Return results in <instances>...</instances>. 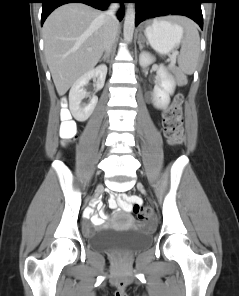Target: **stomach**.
Instances as JSON below:
<instances>
[{"instance_id":"obj_1","label":"stomach","mask_w":239,"mask_h":296,"mask_svg":"<svg viewBox=\"0 0 239 296\" xmlns=\"http://www.w3.org/2000/svg\"><path fill=\"white\" fill-rule=\"evenodd\" d=\"M144 34L157 52L167 54L179 45L183 37V29L171 22L154 21L152 25L145 28Z\"/></svg>"}]
</instances>
